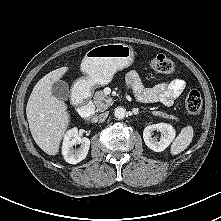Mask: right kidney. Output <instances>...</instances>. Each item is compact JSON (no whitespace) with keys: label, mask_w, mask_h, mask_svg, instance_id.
<instances>
[{"label":"right kidney","mask_w":221,"mask_h":221,"mask_svg":"<svg viewBox=\"0 0 221 221\" xmlns=\"http://www.w3.org/2000/svg\"><path fill=\"white\" fill-rule=\"evenodd\" d=\"M79 144L78 149L73 146ZM90 148V140L87 137H80L77 128H72L66 132L62 145V154L66 162L77 164L84 160Z\"/></svg>","instance_id":"1"}]
</instances>
